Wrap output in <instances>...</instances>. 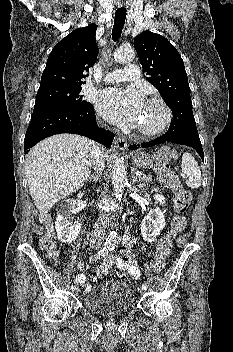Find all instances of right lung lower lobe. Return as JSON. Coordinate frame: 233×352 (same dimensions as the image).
I'll return each mask as SVG.
<instances>
[{
	"label": "right lung lower lobe",
	"instance_id": "98d812e1",
	"mask_svg": "<svg viewBox=\"0 0 233 352\" xmlns=\"http://www.w3.org/2000/svg\"><path fill=\"white\" fill-rule=\"evenodd\" d=\"M60 133L86 136L110 148L114 134L99 128L92 105L76 109H48L33 112L25 139V154L39 141Z\"/></svg>",
	"mask_w": 233,
	"mask_h": 352
}]
</instances>
